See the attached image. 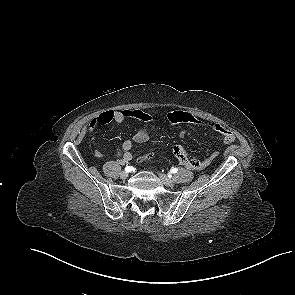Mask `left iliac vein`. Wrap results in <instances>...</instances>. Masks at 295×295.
<instances>
[{
	"label": "left iliac vein",
	"mask_w": 295,
	"mask_h": 295,
	"mask_svg": "<svg viewBox=\"0 0 295 295\" xmlns=\"http://www.w3.org/2000/svg\"><path fill=\"white\" fill-rule=\"evenodd\" d=\"M159 178L166 186L173 187L175 185L174 181L168 178L165 174L159 173Z\"/></svg>",
	"instance_id": "1"
}]
</instances>
